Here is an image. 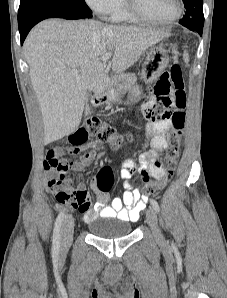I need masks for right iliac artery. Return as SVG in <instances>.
Segmentation results:
<instances>
[{"instance_id": "right-iliac-artery-1", "label": "right iliac artery", "mask_w": 227, "mask_h": 298, "mask_svg": "<svg viewBox=\"0 0 227 298\" xmlns=\"http://www.w3.org/2000/svg\"><path fill=\"white\" fill-rule=\"evenodd\" d=\"M64 219V212H60L55 221V227L53 231V243H52V251L54 255H57L60 248V231L62 222Z\"/></svg>"}]
</instances>
